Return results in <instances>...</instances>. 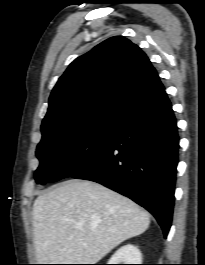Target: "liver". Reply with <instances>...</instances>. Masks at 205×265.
<instances>
[{
    "label": "liver",
    "mask_w": 205,
    "mask_h": 265,
    "mask_svg": "<svg viewBox=\"0 0 205 265\" xmlns=\"http://www.w3.org/2000/svg\"><path fill=\"white\" fill-rule=\"evenodd\" d=\"M32 215L39 264H96L150 224L149 214L129 198L75 179L39 195Z\"/></svg>",
    "instance_id": "liver-1"
}]
</instances>
